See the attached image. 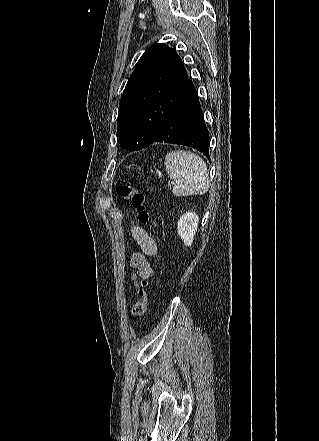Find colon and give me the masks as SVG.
<instances>
[{"instance_id": "1", "label": "colon", "mask_w": 319, "mask_h": 441, "mask_svg": "<svg viewBox=\"0 0 319 441\" xmlns=\"http://www.w3.org/2000/svg\"><path fill=\"white\" fill-rule=\"evenodd\" d=\"M117 193L120 197L130 201L138 214V218L143 223L150 222V213L144 192L137 190L131 183H124L117 187ZM139 290V300L133 305L131 313L135 319L141 318L148 304V279H143Z\"/></svg>"}]
</instances>
